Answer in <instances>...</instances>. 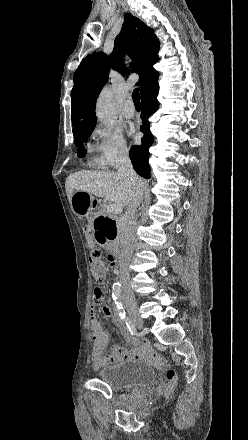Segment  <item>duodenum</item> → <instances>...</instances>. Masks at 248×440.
<instances>
[{"label": "duodenum", "instance_id": "410a0bca", "mask_svg": "<svg viewBox=\"0 0 248 440\" xmlns=\"http://www.w3.org/2000/svg\"><path fill=\"white\" fill-rule=\"evenodd\" d=\"M110 251L113 255L118 256L120 253V249L117 243L114 246H111Z\"/></svg>", "mask_w": 248, "mask_h": 440}]
</instances>
